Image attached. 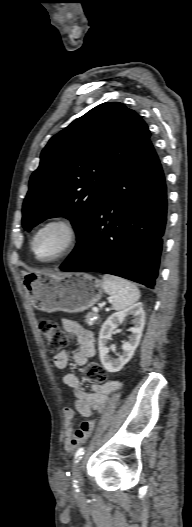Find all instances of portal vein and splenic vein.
<instances>
[{
	"mask_svg": "<svg viewBox=\"0 0 192 527\" xmlns=\"http://www.w3.org/2000/svg\"><path fill=\"white\" fill-rule=\"evenodd\" d=\"M93 312H98V308H93Z\"/></svg>",
	"mask_w": 192,
	"mask_h": 527,
	"instance_id": "obj_1",
	"label": "portal vein and splenic vein"
}]
</instances>
